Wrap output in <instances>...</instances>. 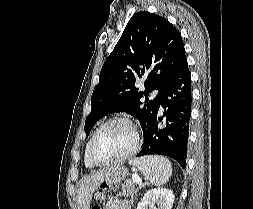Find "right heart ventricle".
<instances>
[{
    "label": "right heart ventricle",
    "mask_w": 253,
    "mask_h": 209,
    "mask_svg": "<svg viewBox=\"0 0 253 209\" xmlns=\"http://www.w3.org/2000/svg\"><path fill=\"white\" fill-rule=\"evenodd\" d=\"M89 143H90V140L87 142V144H86V146H85L84 163H85V166H86L87 168L91 169V168H94V165H92V163L90 162V159H89V154H88Z\"/></svg>",
    "instance_id": "1"
}]
</instances>
